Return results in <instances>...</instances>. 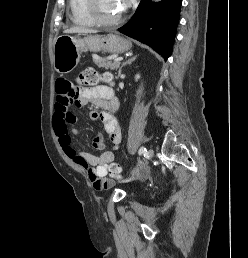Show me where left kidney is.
Segmentation results:
<instances>
[{"label": "left kidney", "instance_id": "left-kidney-1", "mask_svg": "<svg viewBox=\"0 0 248 258\" xmlns=\"http://www.w3.org/2000/svg\"><path fill=\"white\" fill-rule=\"evenodd\" d=\"M139 78H140V75L137 74V75L135 76V80L137 81Z\"/></svg>", "mask_w": 248, "mask_h": 258}]
</instances>
